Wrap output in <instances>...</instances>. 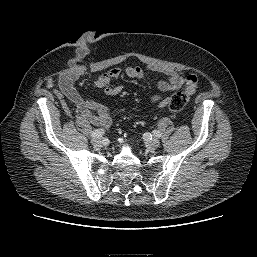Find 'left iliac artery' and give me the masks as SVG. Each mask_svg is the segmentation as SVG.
Masks as SVG:
<instances>
[{"label":"left iliac artery","instance_id":"44dca946","mask_svg":"<svg viewBox=\"0 0 257 257\" xmlns=\"http://www.w3.org/2000/svg\"><path fill=\"white\" fill-rule=\"evenodd\" d=\"M153 134H154V136L157 137V138H160V137H161V133H160L158 130H154V131H153Z\"/></svg>","mask_w":257,"mask_h":257}]
</instances>
